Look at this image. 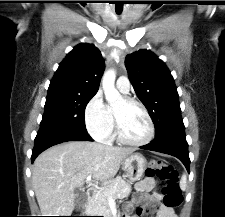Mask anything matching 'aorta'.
<instances>
[{"label": "aorta", "mask_w": 225, "mask_h": 217, "mask_svg": "<svg viewBox=\"0 0 225 217\" xmlns=\"http://www.w3.org/2000/svg\"><path fill=\"white\" fill-rule=\"evenodd\" d=\"M116 71L114 69L107 70L102 78V86L106 101L114 106L123 101L121 94L115 88Z\"/></svg>", "instance_id": "1"}]
</instances>
